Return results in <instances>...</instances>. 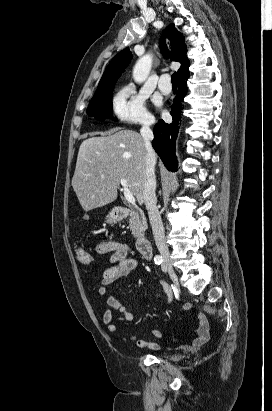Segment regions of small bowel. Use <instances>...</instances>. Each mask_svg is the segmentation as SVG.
I'll list each match as a JSON object with an SVG mask.
<instances>
[{"label":"small bowel","instance_id":"small-bowel-1","mask_svg":"<svg viewBox=\"0 0 272 411\" xmlns=\"http://www.w3.org/2000/svg\"><path fill=\"white\" fill-rule=\"evenodd\" d=\"M97 252L99 254H111L110 266L103 272L102 280L98 288V293L101 296H106V303L108 308L103 313V322L106 324L109 333L118 334V327L115 324L116 320L134 322V315L129 312L126 307L114 296L107 295L108 287L115 281L122 278H129L132 272L138 267L139 261L132 257L133 251L126 243L118 241H102L97 245ZM164 292L167 295V304L172 302V293L168 285L161 283ZM185 310L193 309L192 304L185 305ZM112 310L121 313L117 319L113 316ZM199 320L198 337L189 346L190 350L196 349L205 344L209 340V323L202 312H197ZM152 336L161 338L162 334L158 330L151 331ZM129 339L134 341L139 348H150L158 350L160 347L156 342L148 341L140 338L138 335H131Z\"/></svg>","mask_w":272,"mask_h":411}]
</instances>
